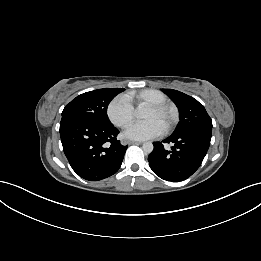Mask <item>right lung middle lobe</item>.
<instances>
[{
	"mask_svg": "<svg viewBox=\"0 0 261 261\" xmlns=\"http://www.w3.org/2000/svg\"><path fill=\"white\" fill-rule=\"evenodd\" d=\"M122 91H124L123 88H104L83 93L65 106L62 117L110 125L112 123L107 116L108 104Z\"/></svg>",
	"mask_w": 261,
	"mask_h": 261,
	"instance_id": "right-lung-middle-lobe-1",
	"label": "right lung middle lobe"
}]
</instances>
